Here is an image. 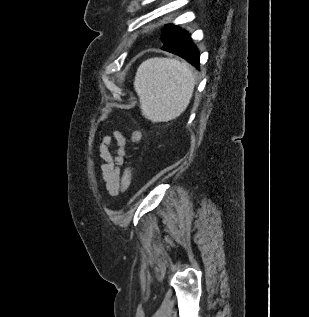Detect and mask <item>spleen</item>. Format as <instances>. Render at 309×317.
I'll return each mask as SVG.
<instances>
[{"mask_svg": "<svg viewBox=\"0 0 309 317\" xmlns=\"http://www.w3.org/2000/svg\"><path fill=\"white\" fill-rule=\"evenodd\" d=\"M194 86L195 76L186 63L163 57L144 61L134 80L142 114L152 122L179 117L190 103Z\"/></svg>", "mask_w": 309, "mask_h": 317, "instance_id": "3e777b00", "label": "spleen"}]
</instances>
